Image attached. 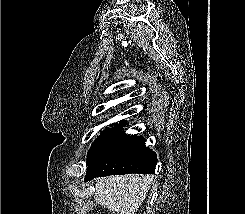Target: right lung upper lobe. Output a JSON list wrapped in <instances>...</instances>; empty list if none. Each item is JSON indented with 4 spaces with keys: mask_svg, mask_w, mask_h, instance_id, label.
Segmentation results:
<instances>
[{
    "mask_svg": "<svg viewBox=\"0 0 245 214\" xmlns=\"http://www.w3.org/2000/svg\"><path fill=\"white\" fill-rule=\"evenodd\" d=\"M127 123L125 121H120L119 124L118 123H114V124H111L110 126L112 128H106V130H104L101 135H105V134H109V133H112L114 131H117V130H122V127L121 126H125Z\"/></svg>",
    "mask_w": 245,
    "mask_h": 214,
    "instance_id": "1",
    "label": "right lung upper lobe"
}]
</instances>
